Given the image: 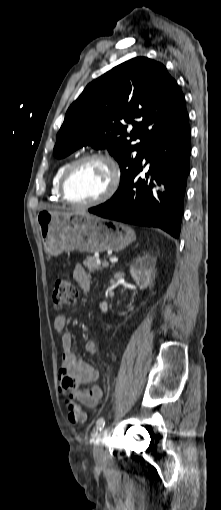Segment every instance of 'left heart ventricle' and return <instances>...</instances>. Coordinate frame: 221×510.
<instances>
[{
	"mask_svg": "<svg viewBox=\"0 0 221 510\" xmlns=\"http://www.w3.org/2000/svg\"><path fill=\"white\" fill-rule=\"evenodd\" d=\"M111 182L109 167L101 161L90 160L77 166L71 173L66 192L75 202H89L101 196Z\"/></svg>",
	"mask_w": 221,
	"mask_h": 510,
	"instance_id": "1",
	"label": "left heart ventricle"
}]
</instances>
